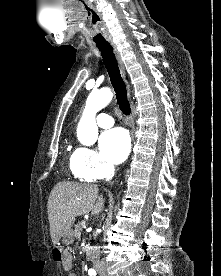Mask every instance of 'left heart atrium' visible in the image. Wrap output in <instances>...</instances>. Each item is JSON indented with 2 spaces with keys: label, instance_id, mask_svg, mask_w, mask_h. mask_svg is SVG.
<instances>
[{
  "label": "left heart atrium",
  "instance_id": "39dd6f15",
  "mask_svg": "<svg viewBox=\"0 0 221 276\" xmlns=\"http://www.w3.org/2000/svg\"><path fill=\"white\" fill-rule=\"evenodd\" d=\"M100 150L104 158L113 164L123 162L130 150V139L122 128L104 132L99 140Z\"/></svg>",
  "mask_w": 221,
  "mask_h": 276
}]
</instances>
